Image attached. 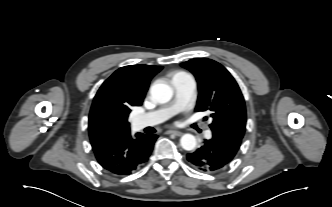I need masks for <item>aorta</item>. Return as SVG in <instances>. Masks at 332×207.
<instances>
[{"instance_id":"762f6f07","label":"aorta","mask_w":332,"mask_h":207,"mask_svg":"<svg viewBox=\"0 0 332 207\" xmlns=\"http://www.w3.org/2000/svg\"><path fill=\"white\" fill-rule=\"evenodd\" d=\"M151 97L158 103H167L173 96V90L170 86L163 83H157L150 88ZM181 147L184 150L191 151L196 147V138L192 134H184L180 139Z\"/></svg>"}]
</instances>
